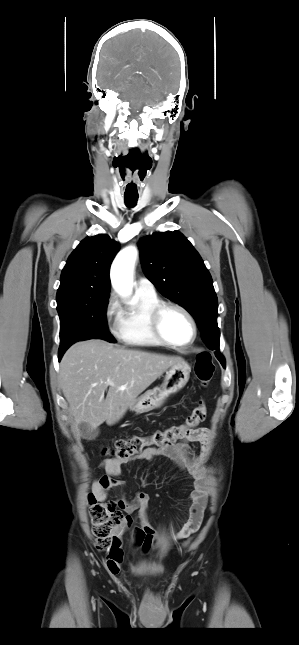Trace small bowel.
Listing matches in <instances>:
<instances>
[{"instance_id":"1","label":"small bowel","mask_w":299,"mask_h":645,"mask_svg":"<svg viewBox=\"0 0 299 645\" xmlns=\"http://www.w3.org/2000/svg\"><path fill=\"white\" fill-rule=\"evenodd\" d=\"M211 441V431L206 427H199L190 430L179 442L162 448L148 447L130 458L131 461H151L154 458H165L171 461L180 470L189 472L194 478L193 490L191 492L192 504L189 508L188 517L179 530L171 535L172 540L187 538L190 534L196 531L201 524L205 508V463L209 455ZM191 442H198L203 446V450L199 455H194L192 453L189 446V443ZM123 463L116 459H110L102 463L101 468L104 470L105 474L94 480L92 484V494L94 498L99 501H103L106 498L108 490L124 485V482L119 479L122 473L121 466ZM148 504L149 495L145 492H139L131 502L123 499L117 502L120 509L126 512L139 510L142 515L145 514ZM131 524V518L127 517L126 527H130ZM121 535L122 530H118L116 532V539L114 541L113 548L110 550L106 560L108 566H118L123 561L124 555L120 542ZM156 541L157 535L155 530L144 522L141 527L134 529L131 548L133 550L140 548L146 552L156 544Z\"/></svg>"}]
</instances>
